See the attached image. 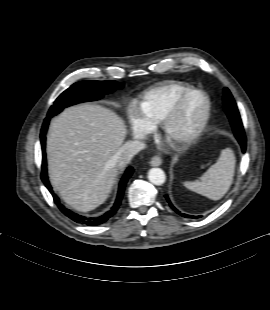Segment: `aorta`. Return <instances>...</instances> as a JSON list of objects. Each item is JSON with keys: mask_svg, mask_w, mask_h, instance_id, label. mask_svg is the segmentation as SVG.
<instances>
[{"mask_svg": "<svg viewBox=\"0 0 270 310\" xmlns=\"http://www.w3.org/2000/svg\"><path fill=\"white\" fill-rule=\"evenodd\" d=\"M148 179L154 185H162L165 183L166 175L161 168H151L148 172Z\"/></svg>", "mask_w": 270, "mask_h": 310, "instance_id": "obj_1", "label": "aorta"}]
</instances>
